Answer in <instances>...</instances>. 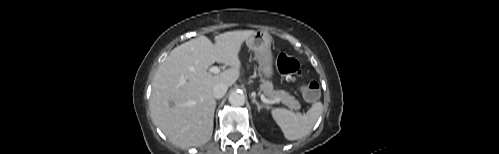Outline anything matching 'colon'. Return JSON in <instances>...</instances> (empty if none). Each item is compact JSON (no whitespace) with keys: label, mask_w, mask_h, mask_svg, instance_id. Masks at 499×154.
Instances as JSON below:
<instances>
[{"label":"colon","mask_w":499,"mask_h":154,"mask_svg":"<svg viewBox=\"0 0 499 154\" xmlns=\"http://www.w3.org/2000/svg\"><path fill=\"white\" fill-rule=\"evenodd\" d=\"M277 67L281 74L296 80L301 78L302 72L298 60L287 54H280L277 60ZM303 97L309 101L314 102L320 96V85L316 81L303 83L301 86Z\"/></svg>","instance_id":"5ec220e1"}]
</instances>
